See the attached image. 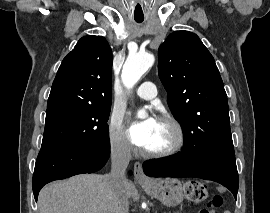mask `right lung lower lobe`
Masks as SVG:
<instances>
[{
    "instance_id": "1",
    "label": "right lung lower lobe",
    "mask_w": 270,
    "mask_h": 213,
    "mask_svg": "<svg viewBox=\"0 0 270 213\" xmlns=\"http://www.w3.org/2000/svg\"><path fill=\"white\" fill-rule=\"evenodd\" d=\"M109 155V140L80 147L41 148L33 174L35 200L45 184L77 174L96 172L105 165Z\"/></svg>"
}]
</instances>
